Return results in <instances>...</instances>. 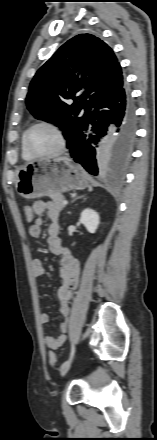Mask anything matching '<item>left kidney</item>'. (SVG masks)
I'll return each mask as SVG.
<instances>
[{"label":"left kidney","mask_w":157,"mask_h":440,"mask_svg":"<svg viewBox=\"0 0 157 440\" xmlns=\"http://www.w3.org/2000/svg\"><path fill=\"white\" fill-rule=\"evenodd\" d=\"M79 222L85 226L89 233H95L100 223V217L97 212L92 209H85L80 215Z\"/></svg>","instance_id":"left-kidney-1"}]
</instances>
